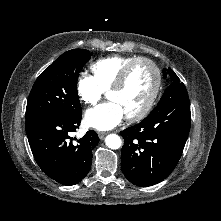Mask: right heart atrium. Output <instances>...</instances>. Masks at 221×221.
<instances>
[{"label":"right heart atrium","mask_w":221,"mask_h":221,"mask_svg":"<svg viewBox=\"0 0 221 221\" xmlns=\"http://www.w3.org/2000/svg\"><path fill=\"white\" fill-rule=\"evenodd\" d=\"M77 94L82 103L86 105H95L103 96V92L99 89L94 79L86 74L78 78Z\"/></svg>","instance_id":"1"}]
</instances>
